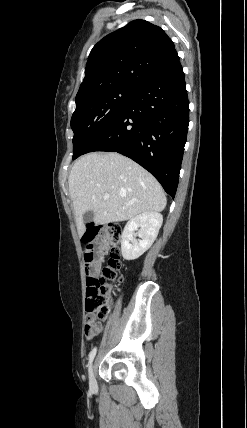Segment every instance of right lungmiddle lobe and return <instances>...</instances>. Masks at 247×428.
I'll use <instances>...</instances> for the list:
<instances>
[{
    "mask_svg": "<svg viewBox=\"0 0 247 428\" xmlns=\"http://www.w3.org/2000/svg\"><path fill=\"white\" fill-rule=\"evenodd\" d=\"M138 89L115 86L76 96L72 115L73 159L84 153L98 135L127 107Z\"/></svg>",
    "mask_w": 247,
    "mask_h": 428,
    "instance_id": "right-lung-middle-lobe-1",
    "label": "right lung middle lobe"
}]
</instances>
